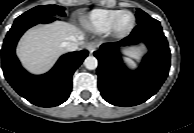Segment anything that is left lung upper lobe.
<instances>
[{
    "label": "left lung upper lobe",
    "mask_w": 194,
    "mask_h": 133,
    "mask_svg": "<svg viewBox=\"0 0 194 133\" xmlns=\"http://www.w3.org/2000/svg\"><path fill=\"white\" fill-rule=\"evenodd\" d=\"M136 18H137V23H140L144 20L149 19L150 16L144 11H142L141 9H137Z\"/></svg>",
    "instance_id": "left-lung-upper-lobe-1"
}]
</instances>
